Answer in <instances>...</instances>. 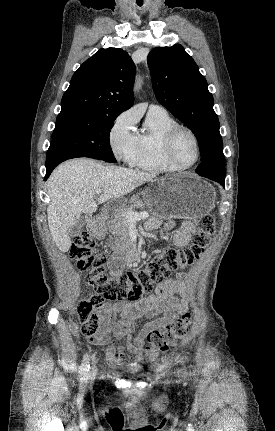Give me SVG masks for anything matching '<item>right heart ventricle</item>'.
Here are the masks:
<instances>
[{"label": "right heart ventricle", "mask_w": 275, "mask_h": 431, "mask_svg": "<svg viewBox=\"0 0 275 431\" xmlns=\"http://www.w3.org/2000/svg\"><path fill=\"white\" fill-rule=\"evenodd\" d=\"M178 123L164 109H149L138 133V150L133 167L154 172H174L176 169L165 158L163 152L166 134Z\"/></svg>", "instance_id": "e07e8e85"}]
</instances>
